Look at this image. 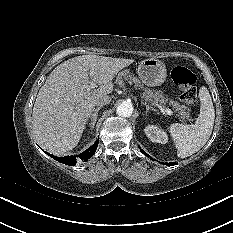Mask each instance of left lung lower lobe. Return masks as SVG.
I'll return each mask as SVG.
<instances>
[{
  "label": "left lung lower lobe",
  "mask_w": 233,
  "mask_h": 233,
  "mask_svg": "<svg viewBox=\"0 0 233 233\" xmlns=\"http://www.w3.org/2000/svg\"><path fill=\"white\" fill-rule=\"evenodd\" d=\"M141 152L144 154V155H146V156H148V154H146V152H144L142 149H141ZM176 163H166V165H170V166H172V165H175Z\"/></svg>",
  "instance_id": "obj_1"
}]
</instances>
